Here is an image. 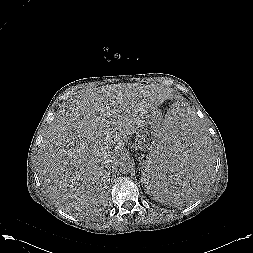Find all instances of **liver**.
<instances>
[{
    "label": "liver",
    "instance_id": "6515ba94",
    "mask_svg": "<svg viewBox=\"0 0 253 253\" xmlns=\"http://www.w3.org/2000/svg\"><path fill=\"white\" fill-rule=\"evenodd\" d=\"M170 96L164 87L122 83L83 90L63 103L37 158L49 199L80 218L104 211L111 164Z\"/></svg>",
    "mask_w": 253,
    "mask_h": 253
}]
</instances>
